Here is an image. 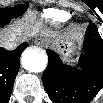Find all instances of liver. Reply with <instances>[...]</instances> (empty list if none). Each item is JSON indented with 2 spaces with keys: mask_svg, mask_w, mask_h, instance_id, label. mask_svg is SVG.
Returning <instances> with one entry per match:
<instances>
[{
  "mask_svg": "<svg viewBox=\"0 0 103 103\" xmlns=\"http://www.w3.org/2000/svg\"><path fill=\"white\" fill-rule=\"evenodd\" d=\"M41 35L44 37L60 39L63 36L58 35L56 32L43 29L41 22L38 21L36 14L29 12L24 18L18 21L15 25L6 29L1 35L2 44L12 41L17 44L25 41L28 37ZM68 36V35H67Z\"/></svg>",
  "mask_w": 103,
  "mask_h": 103,
  "instance_id": "obj_1",
  "label": "liver"
}]
</instances>
